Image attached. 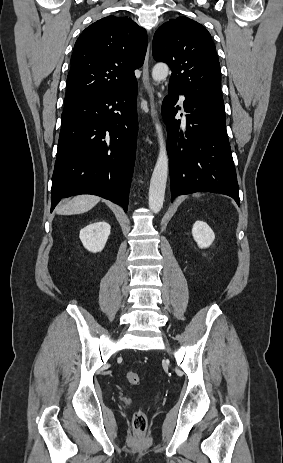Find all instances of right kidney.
Wrapping results in <instances>:
<instances>
[{
  "label": "right kidney",
  "instance_id": "ca27d5eb",
  "mask_svg": "<svg viewBox=\"0 0 283 463\" xmlns=\"http://www.w3.org/2000/svg\"><path fill=\"white\" fill-rule=\"evenodd\" d=\"M110 225L105 222H95L81 229L79 237L83 246L90 252L103 250L110 235Z\"/></svg>",
  "mask_w": 283,
  "mask_h": 463
}]
</instances>
